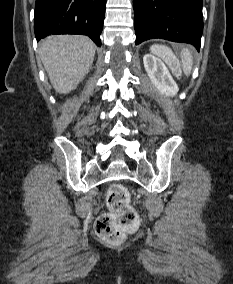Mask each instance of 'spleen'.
Segmentation results:
<instances>
[{
	"label": "spleen",
	"instance_id": "3e777b00",
	"mask_svg": "<svg viewBox=\"0 0 233 284\" xmlns=\"http://www.w3.org/2000/svg\"><path fill=\"white\" fill-rule=\"evenodd\" d=\"M150 51L160 57H162L168 65L172 67V70L177 73L180 71V68L178 67H173L172 62L173 59L175 58L173 52L171 51L170 48H168L165 45H152L150 47ZM181 61H182V68L183 72L186 76H189L192 70V64H193V57L191 52L188 49H183L181 53Z\"/></svg>",
	"mask_w": 233,
	"mask_h": 284
}]
</instances>
